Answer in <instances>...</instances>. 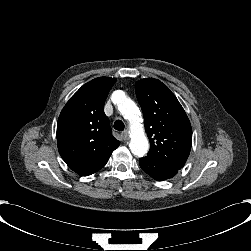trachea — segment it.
Masks as SVG:
<instances>
[{"instance_id": "trachea-1", "label": "trachea", "mask_w": 251, "mask_h": 251, "mask_svg": "<svg viewBox=\"0 0 251 251\" xmlns=\"http://www.w3.org/2000/svg\"><path fill=\"white\" fill-rule=\"evenodd\" d=\"M124 123L121 120H116L114 123V129L117 131H123L124 130Z\"/></svg>"}]
</instances>
